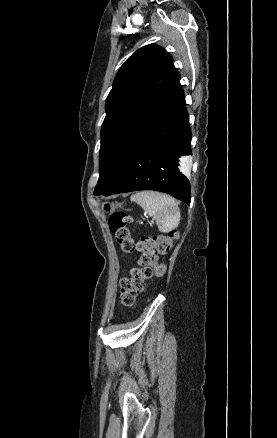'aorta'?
I'll return each instance as SVG.
<instances>
[{
	"instance_id": "obj_1",
	"label": "aorta",
	"mask_w": 277,
	"mask_h": 438,
	"mask_svg": "<svg viewBox=\"0 0 277 438\" xmlns=\"http://www.w3.org/2000/svg\"><path fill=\"white\" fill-rule=\"evenodd\" d=\"M191 166H192V160L190 158L184 157L182 159V170L187 174Z\"/></svg>"
}]
</instances>
